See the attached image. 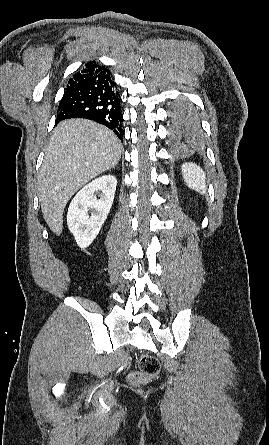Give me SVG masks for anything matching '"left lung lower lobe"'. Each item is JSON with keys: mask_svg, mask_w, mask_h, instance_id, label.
Masks as SVG:
<instances>
[{"mask_svg": "<svg viewBox=\"0 0 269 445\" xmlns=\"http://www.w3.org/2000/svg\"><path fill=\"white\" fill-rule=\"evenodd\" d=\"M171 133L173 141L179 144L197 145L200 140V127L195 113L186 105L176 106L171 113Z\"/></svg>", "mask_w": 269, "mask_h": 445, "instance_id": "1", "label": "left lung lower lobe"}]
</instances>
